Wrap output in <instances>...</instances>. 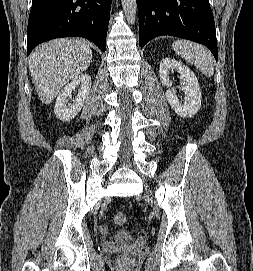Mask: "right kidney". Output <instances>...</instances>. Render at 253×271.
<instances>
[{"label":"right kidney","mask_w":253,"mask_h":271,"mask_svg":"<svg viewBox=\"0 0 253 271\" xmlns=\"http://www.w3.org/2000/svg\"><path fill=\"white\" fill-rule=\"evenodd\" d=\"M78 90V95L72 98V92L76 89ZM91 88V77L88 74H81L75 77L71 82H69L58 94L54 113L58 119L61 121L72 120L82 109ZM72 99L73 103H69L68 100Z\"/></svg>","instance_id":"right-kidney-1"}]
</instances>
